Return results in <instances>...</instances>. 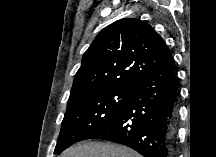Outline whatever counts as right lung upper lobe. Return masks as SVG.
I'll return each instance as SVG.
<instances>
[{
  "mask_svg": "<svg viewBox=\"0 0 216 157\" xmlns=\"http://www.w3.org/2000/svg\"><path fill=\"white\" fill-rule=\"evenodd\" d=\"M171 57L150 25L132 18L118 20L104 28L84 53L68 103L91 91L133 86Z\"/></svg>",
  "mask_w": 216,
  "mask_h": 157,
  "instance_id": "right-lung-upper-lobe-1",
  "label": "right lung upper lobe"
}]
</instances>
